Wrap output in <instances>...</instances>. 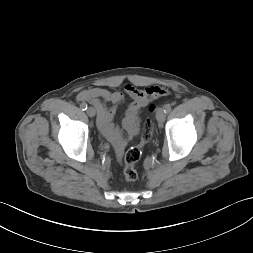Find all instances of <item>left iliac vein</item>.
I'll list each match as a JSON object with an SVG mask.
<instances>
[{"label":"left iliac vein","mask_w":253,"mask_h":253,"mask_svg":"<svg viewBox=\"0 0 253 253\" xmlns=\"http://www.w3.org/2000/svg\"><path fill=\"white\" fill-rule=\"evenodd\" d=\"M165 118H166V112L164 111V108H158L156 112L157 121L162 123L165 121Z\"/></svg>","instance_id":"1"}]
</instances>
